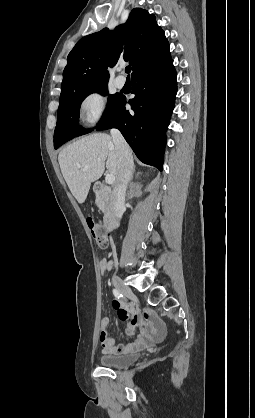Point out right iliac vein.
<instances>
[{
	"label": "right iliac vein",
	"mask_w": 255,
	"mask_h": 418,
	"mask_svg": "<svg viewBox=\"0 0 255 418\" xmlns=\"http://www.w3.org/2000/svg\"><path fill=\"white\" fill-rule=\"evenodd\" d=\"M112 281L114 286L121 294L127 297L132 295V290L118 276L114 275Z\"/></svg>",
	"instance_id": "1"
}]
</instances>
